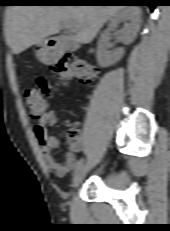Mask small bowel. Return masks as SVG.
Returning a JSON list of instances; mask_svg holds the SVG:
<instances>
[{
	"mask_svg": "<svg viewBox=\"0 0 170 231\" xmlns=\"http://www.w3.org/2000/svg\"><path fill=\"white\" fill-rule=\"evenodd\" d=\"M37 84L42 92L48 93L49 88L46 80L43 77H39ZM59 117L54 111H46L39 117L38 123L34 126V133L41 146L42 159L50 170L55 172L59 177H65L71 172L76 165V154L84 149L85 141L83 137L79 136L75 141L70 143L69 151L65 155L63 162L57 161L53 155V150L59 147V139L56 136L50 135L47 130V126H53L57 124Z\"/></svg>",
	"mask_w": 170,
	"mask_h": 231,
	"instance_id": "obj_1",
	"label": "small bowel"
}]
</instances>
